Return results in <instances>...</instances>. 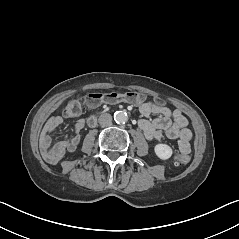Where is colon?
Returning <instances> with one entry per match:
<instances>
[{
  "label": "colon",
  "mask_w": 239,
  "mask_h": 239,
  "mask_svg": "<svg viewBox=\"0 0 239 239\" xmlns=\"http://www.w3.org/2000/svg\"><path fill=\"white\" fill-rule=\"evenodd\" d=\"M146 96L138 92H107V93H92L85 99L87 105L95 106L101 103H119V102H131L141 103L145 101ZM83 99L76 97L71 99L64 109V115L66 117L75 118L78 117L82 112ZM175 161L179 164H184L190 161L188 154H182L175 156Z\"/></svg>",
  "instance_id": "colon-1"
}]
</instances>
